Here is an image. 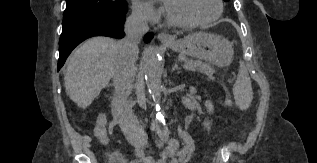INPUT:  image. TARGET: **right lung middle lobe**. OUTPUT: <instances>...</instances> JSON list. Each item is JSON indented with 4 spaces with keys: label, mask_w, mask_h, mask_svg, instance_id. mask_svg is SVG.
Wrapping results in <instances>:
<instances>
[{
    "label": "right lung middle lobe",
    "mask_w": 317,
    "mask_h": 163,
    "mask_svg": "<svg viewBox=\"0 0 317 163\" xmlns=\"http://www.w3.org/2000/svg\"><path fill=\"white\" fill-rule=\"evenodd\" d=\"M126 0H66L62 26L67 27L99 14H126Z\"/></svg>",
    "instance_id": "right-lung-middle-lobe-1"
}]
</instances>
